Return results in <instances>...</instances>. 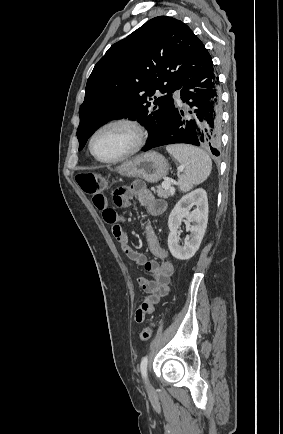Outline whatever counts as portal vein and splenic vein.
Wrapping results in <instances>:
<instances>
[{
	"label": "portal vein and splenic vein",
	"mask_w": 283,
	"mask_h": 434,
	"mask_svg": "<svg viewBox=\"0 0 283 434\" xmlns=\"http://www.w3.org/2000/svg\"><path fill=\"white\" fill-rule=\"evenodd\" d=\"M162 186H163L164 188H171V183H170V181H164V182L162 183Z\"/></svg>",
	"instance_id": "18ae733b"
}]
</instances>
